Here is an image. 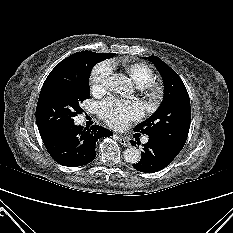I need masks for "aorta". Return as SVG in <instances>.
<instances>
[{
    "label": "aorta",
    "mask_w": 233,
    "mask_h": 233,
    "mask_svg": "<svg viewBox=\"0 0 233 233\" xmlns=\"http://www.w3.org/2000/svg\"><path fill=\"white\" fill-rule=\"evenodd\" d=\"M110 88L115 93L129 94L132 91V81L123 74H114L111 77ZM141 158V152L138 148L130 146L124 151V159L127 163L136 164Z\"/></svg>",
    "instance_id": "obj_1"
}]
</instances>
